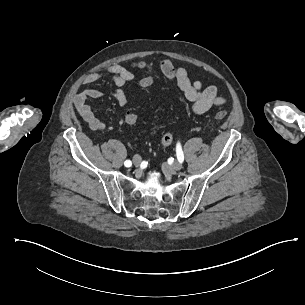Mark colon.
<instances>
[{
    "label": "colon",
    "instance_id": "1",
    "mask_svg": "<svg viewBox=\"0 0 305 305\" xmlns=\"http://www.w3.org/2000/svg\"><path fill=\"white\" fill-rule=\"evenodd\" d=\"M158 79V76L156 74H153L152 76L145 77L140 82V87L142 89H147L155 85L156 80ZM227 113L225 111H217L214 114V117L216 119H224L226 117ZM124 121L126 124H135L138 121V114L136 112H128L124 116ZM173 142V134L171 132H166L161 137V143L163 146H169Z\"/></svg>",
    "mask_w": 305,
    "mask_h": 305
}]
</instances>
